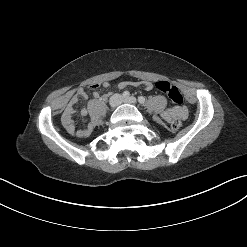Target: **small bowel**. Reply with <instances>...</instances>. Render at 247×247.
Returning a JSON list of instances; mask_svg holds the SVG:
<instances>
[{
  "label": "small bowel",
  "mask_w": 247,
  "mask_h": 247,
  "mask_svg": "<svg viewBox=\"0 0 247 247\" xmlns=\"http://www.w3.org/2000/svg\"><path fill=\"white\" fill-rule=\"evenodd\" d=\"M143 86L146 90H151L153 88V84L150 81L144 80L141 82H130V81H124L119 84V87L121 89H124L126 87H135V86ZM104 87L108 88L110 86L109 82H103V83H97L93 84L90 87L92 89H96L98 87ZM93 98L97 99L99 98L98 92H93L92 94ZM79 98H87V94L83 88L77 89L75 94L70 98L68 105L66 106L63 114H62V124L66 131L78 138H84L91 134L94 124L88 123L85 128L78 129L73 121V115L75 113L74 104L79 100ZM80 113L82 116H86L88 114V108L87 106L82 107L80 110ZM188 115V110L185 106H175L172 107L166 111L163 112L162 116L167 122H171L173 118H180L185 119Z\"/></svg>",
  "instance_id": "c3829d8e"
}]
</instances>
